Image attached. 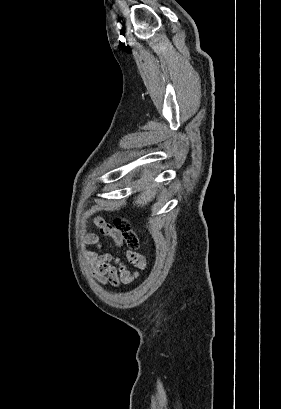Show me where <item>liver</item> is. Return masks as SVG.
I'll return each mask as SVG.
<instances>
[{
    "label": "liver",
    "mask_w": 281,
    "mask_h": 409,
    "mask_svg": "<svg viewBox=\"0 0 281 409\" xmlns=\"http://www.w3.org/2000/svg\"><path fill=\"white\" fill-rule=\"evenodd\" d=\"M143 178L144 180H148V178H146V174H144ZM150 178H152L151 174H150ZM155 194H156V188L154 184H146L142 192H140V194L136 196L134 200V205H137V207H145V205H148V202H151V200L155 198Z\"/></svg>",
    "instance_id": "1"
}]
</instances>
